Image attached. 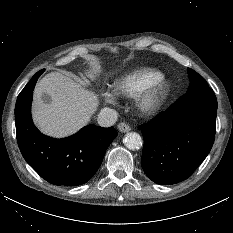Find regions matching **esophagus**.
Segmentation results:
<instances>
[{"label": "esophagus", "instance_id": "esophagus-1", "mask_svg": "<svg viewBox=\"0 0 233 233\" xmlns=\"http://www.w3.org/2000/svg\"><path fill=\"white\" fill-rule=\"evenodd\" d=\"M118 130H119L120 132L125 133V132L130 131V130H131V127H130L127 123L121 122V123L118 124Z\"/></svg>", "mask_w": 233, "mask_h": 233}]
</instances>
